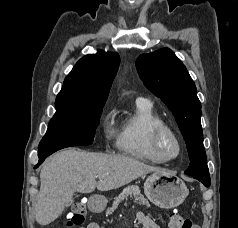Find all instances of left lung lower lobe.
Returning a JSON list of instances; mask_svg holds the SVG:
<instances>
[{"label": "left lung lower lobe", "mask_w": 238, "mask_h": 228, "mask_svg": "<svg viewBox=\"0 0 238 228\" xmlns=\"http://www.w3.org/2000/svg\"><path fill=\"white\" fill-rule=\"evenodd\" d=\"M185 174L190 175L192 177H194L195 179L199 180L200 182H202L206 187L210 186V177L206 176V175H199V174H188L185 172Z\"/></svg>", "instance_id": "obj_1"}]
</instances>
